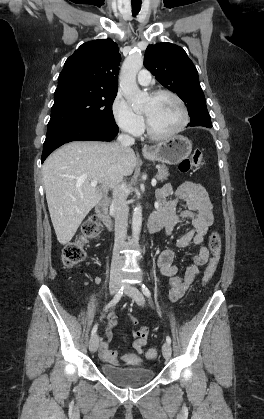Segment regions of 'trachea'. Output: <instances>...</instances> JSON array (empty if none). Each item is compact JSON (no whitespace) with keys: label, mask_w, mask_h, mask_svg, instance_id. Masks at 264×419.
Masks as SVG:
<instances>
[{"label":"trachea","mask_w":264,"mask_h":419,"mask_svg":"<svg viewBox=\"0 0 264 419\" xmlns=\"http://www.w3.org/2000/svg\"><path fill=\"white\" fill-rule=\"evenodd\" d=\"M141 9V4H132V14L136 16Z\"/></svg>","instance_id":"obj_1"}]
</instances>
